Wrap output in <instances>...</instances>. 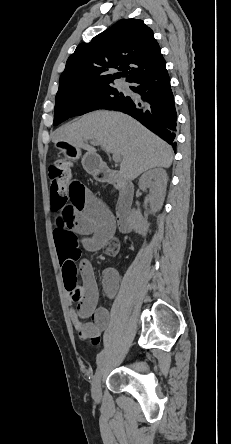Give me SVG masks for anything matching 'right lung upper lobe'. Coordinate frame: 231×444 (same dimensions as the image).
I'll list each match as a JSON object with an SVG mask.
<instances>
[{"label": "right lung upper lobe", "instance_id": "1", "mask_svg": "<svg viewBox=\"0 0 231 444\" xmlns=\"http://www.w3.org/2000/svg\"><path fill=\"white\" fill-rule=\"evenodd\" d=\"M165 64L153 31L142 20L123 19L77 46L61 74L57 95L108 85L122 76L133 82Z\"/></svg>", "mask_w": 231, "mask_h": 444}]
</instances>
